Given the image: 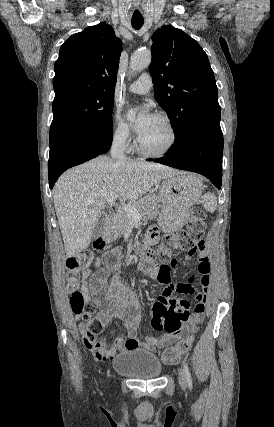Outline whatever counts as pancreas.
I'll return each mask as SVG.
<instances>
[{"mask_svg":"<svg viewBox=\"0 0 274 427\" xmlns=\"http://www.w3.org/2000/svg\"><path fill=\"white\" fill-rule=\"evenodd\" d=\"M157 204L156 196H146V198H141V200H137V202H131V206H134L135 210H138L141 215L142 221L155 219L158 214ZM128 223V215H126L125 212H117V214L110 219L108 225H105L103 233L105 239H117L119 235L124 233L126 227H128Z\"/></svg>","mask_w":274,"mask_h":427,"instance_id":"obj_1","label":"pancreas"}]
</instances>
